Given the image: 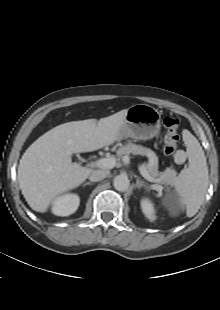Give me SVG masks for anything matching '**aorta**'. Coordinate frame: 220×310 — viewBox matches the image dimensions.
Listing matches in <instances>:
<instances>
[{"mask_svg":"<svg viewBox=\"0 0 220 310\" xmlns=\"http://www.w3.org/2000/svg\"><path fill=\"white\" fill-rule=\"evenodd\" d=\"M129 184V179L125 175L116 176L113 180L114 188L120 192L126 191L129 187Z\"/></svg>","mask_w":220,"mask_h":310,"instance_id":"1","label":"aorta"}]
</instances>
